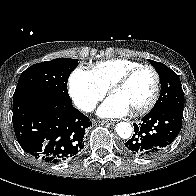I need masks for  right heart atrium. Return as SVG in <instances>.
Listing matches in <instances>:
<instances>
[{"label": "right heart atrium", "instance_id": "d8ad5b80", "mask_svg": "<svg viewBox=\"0 0 196 196\" xmlns=\"http://www.w3.org/2000/svg\"><path fill=\"white\" fill-rule=\"evenodd\" d=\"M106 92L107 90L96 80L90 70L78 67L72 72L69 79V94L80 110L92 111Z\"/></svg>", "mask_w": 196, "mask_h": 196}]
</instances>
